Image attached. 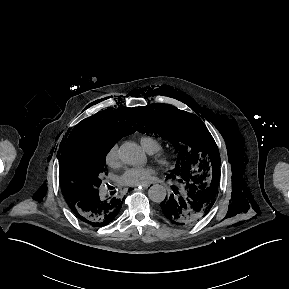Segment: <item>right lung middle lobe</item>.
Returning a JSON list of instances; mask_svg holds the SVG:
<instances>
[{
  "mask_svg": "<svg viewBox=\"0 0 289 289\" xmlns=\"http://www.w3.org/2000/svg\"><path fill=\"white\" fill-rule=\"evenodd\" d=\"M119 139L116 136L101 139L71 156L67 178L71 189L78 196H85L98 190L101 184L100 176L107 169L106 155Z\"/></svg>",
  "mask_w": 289,
  "mask_h": 289,
  "instance_id": "right-lung-middle-lobe-1",
  "label": "right lung middle lobe"
}]
</instances>
